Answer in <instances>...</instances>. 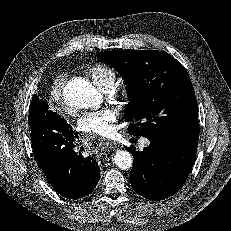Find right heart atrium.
I'll return each mask as SVG.
<instances>
[{
    "label": "right heart atrium",
    "mask_w": 231,
    "mask_h": 231,
    "mask_svg": "<svg viewBox=\"0 0 231 231\" xmlns=\"http://www.w3.org/2000/svg\"><path fill=\"white\" fill-rule=\"evenodd\" d=\"M67 76L65 74H60L56 76L51 85V96L53 100L60 101L62 98L63 88L65 86Z\"/></svg>",
    "instance_id": "right-heart-atrium-1"
}]
</instances>
